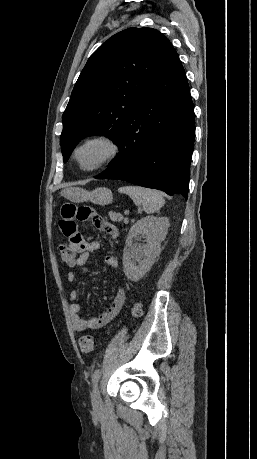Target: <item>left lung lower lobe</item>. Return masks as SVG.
Listing matches in <instances>:
<instances>
[{
	"instance_id": "0a47b994",
	"label": "left lung lower lobe",
	"mask_w": 257,
	"mask_h": 459,
	"mask_svg": "<svg viewBox=\"0 0 257 459\" xmlns=\"http://www.w3.org/2000/svg\"><path fill=\"white\" fill-rule=\"evenodd\" d=\"M194 135L193 102L174 49L125 122L119 155L95 178L125 180L187 199Z\"/></svg>"
}]
</instances>
